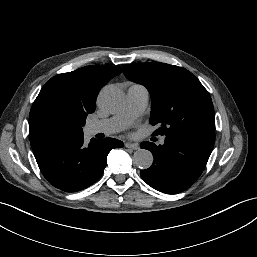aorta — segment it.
<instances>
[{
    "mask_svg": "<svg viewBox=\"0 0 257 257\" xmlns=\"http://www.w3.org/2000/svg\"><path fill=\"white\" fill-rule=\"evenodd\" d=\"M124 100L123 92L115 86L104 87L98 96L100 107L107 112L119 110L123 106ZM133 163L141 169H147L153 163V155L146 149H139L133 155Z\"/></svg>",
    "mask_w": 257,
    "mask_h": 257,
    "instance_id": "obj_1",
    "label": "aorta"
}]
</instances>
